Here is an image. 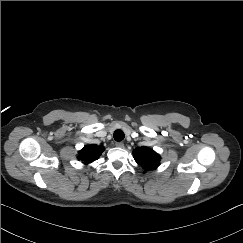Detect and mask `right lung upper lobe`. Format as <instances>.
Returning <instances> with one entry per match:
<instances>
[{
	"label": "right lung upper lobe",
	"mask_w": 243,
	"mask_h": 243,
	"mask_svg": "<svg viewBox=\"0 0 243 243\" xmlns=\"http://www.w3.org/2000/svg\"><path fill=\"white\" fill-rule=\"evenodd\" d=\"M104 150V146H97L95 144L86 145L78 152V159L83 160L86 164L91 163L97 160Z\"/></svg>",
	"instance_id": "1"
}]
</instances>
